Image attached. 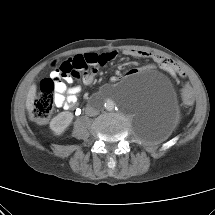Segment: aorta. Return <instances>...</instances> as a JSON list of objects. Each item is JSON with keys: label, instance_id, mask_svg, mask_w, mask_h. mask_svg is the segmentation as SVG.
<instances>
[{"label": "aorta", "instance_id": "obj_1", "mask_svg": "<svg viewBox=\"0 0 215 215\" xmlns=\"http://www.w3.org/2000/svg\"><path fill=\"white\" fill-rule=\"evenodd\" d=\"M124 86L118 85L114 87L111 91L105 92L103 95V100L101 102V108L106 111H113L117 108L119 100H122V92Z\"/></svg>", "mask_w": 215, "mask_h": 215}]
</instances>
